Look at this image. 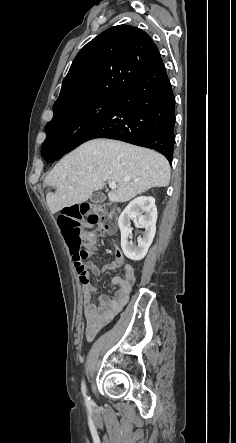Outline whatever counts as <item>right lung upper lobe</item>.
Listing matches in <instances>:
<instances>
[{
	"mask_svg": "<svg viewBox=\"0 0 236 443\" xmlns=\"http://www.w3.org/2000/svg\"><path fill=\"white\" fill-rule=\"evenodd\" d=\"M148 34L129 25L111 27L86 44L63 80L54 114L90 97L118 96L160 58Z\"/></svg>",
	"mask_w": 236,
	"mask_h": 443,
	"instance_id": "right-lung-upper-lobe-1",
	"label": "right lung upper lobe"
}]
</instances>
